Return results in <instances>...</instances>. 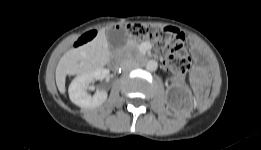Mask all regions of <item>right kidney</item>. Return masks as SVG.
<instances>
[{"label": "right kidney", "instance_id": "obj_1", "mask_svg": "<svg viewBox=\"0 0 261 150\" xmlns=\"http://www.w3.org/2000/svg\"><path fill=\"white\" fill-rule=\"evenodd\" d=\"M109 75V70L98 68L78 75L70 84L68 93L70 100L81 108H96L107 99V92L100 90L94 95L87 92L89 84L94 80H102Z\"/></svg>", "mask_w": 261, "mask_h": 150}]
</instances>
